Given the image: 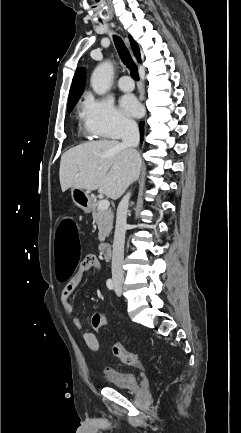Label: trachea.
I'll return each instance as SVG.
<instances>
[{
	"label": "trachea",
	"instance_id": "1",
	"mask_svg": "<svg viewBox=\"0 0 241 433\" xmlns=\"http://www.w3.org/2000/svg\"><path fill=\"white\" fill-rule=\"evenodd\" d=\"M96 19H101V11H96ZM114 44L122 62L130 70L131 77L134 80H139L138 68L132 60L129 50L125 46L123 40L118 36H113Z\"/></svg>",
	"mask_w": 241,
	"mask_h": 433
}]
</instances>
